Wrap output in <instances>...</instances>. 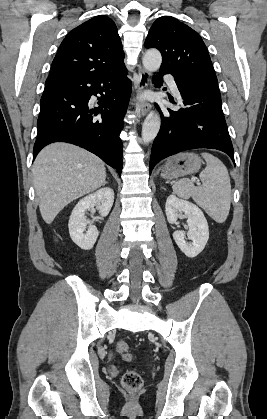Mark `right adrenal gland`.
<instances>
[{
    "label": "right adrenal gland",
    "instance_id": "right-adrenal-gland-1",
    "mask_svg": "<svg viewBox=\"0 0 267 419\" xmlns=\"http://www.w3.org/2000/svg\"><path fill=\"white\" fill-rule=\"evenodd\" d=\"M107 179H109V178H107ZM107 183H108V181H105L103 185H105V184H107Z\"/></svg>",
    "mask_w": 267,
    "mask_h": 419
}]
</instances>
